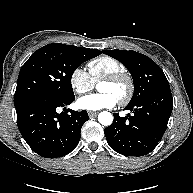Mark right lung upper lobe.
<instances>
[{
	"label": "right lung upper lobe",
	"instance_id": "cb5924a9",
	"mask_svg": "<svg viewBox=\"0 0 193 193\" xmlns=\"http://www.w3.org/2000/svg\"><path fill=\"white\" fill-rule=\"evenodd\" d=\"M90 50H92L93 52H95L96 54H101V51H99V50H97V49H90Z\"/></svg>",
	"mask_w": 193,
	"mask_h": 193
}]
</instances>
